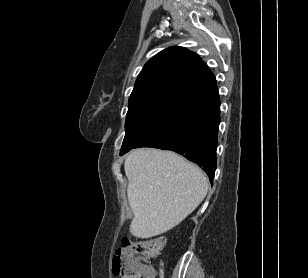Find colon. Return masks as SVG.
<instances>
[{
    "instance_id": "5ec220e1",
    "label": "colon",
    "mask_w": 308,
    "mask_h": 278,
    "mask_svg": "<svg viewBox=\"0 0 308 278\" xmlns=\"http://www.w3.org/2000/svg\"><path fill=\"white\" fill-rule=\"evenodd\" d=\"M165 244L164 237L133 242L124 238L112 258V271L121 278H154L149 261L157 257Z\"/></svg>"
}]
</instances>
